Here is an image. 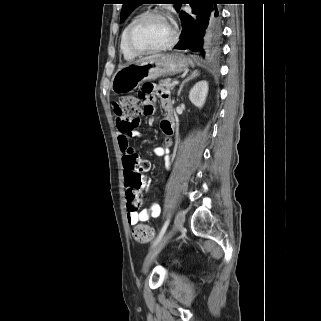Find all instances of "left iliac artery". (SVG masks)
<instances>
[{
    "label": "left iliac artery",
    "instance_id": "obj_1",
    "mask_svg": "<svg viewBox=\"0 0 321 321\" xmlns=\"http://www.w3.org/2000/svg\"><path fill=\"white\" fill-rule=\"evenodd\" d=\"M169 222H170V220H169V218H168V219L165 221V223H164V225H163V227H162V229H161V231H160L157 239L153 242L152 247H154V246L162 239V237H163V235L165 234L166 229H167V227H168V225H169Z\"/></svg>",
    "mask_w": 321,
    "mask_h": 321
}]
</instances>
